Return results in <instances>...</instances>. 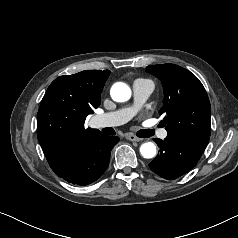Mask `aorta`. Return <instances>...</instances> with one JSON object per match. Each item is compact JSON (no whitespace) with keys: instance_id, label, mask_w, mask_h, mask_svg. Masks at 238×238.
<instances>
[{"instance_id":"762f6f07","label":"aorta","mask_w":238,"mask_h":238,"mask_svg":"<svg viewBox=\"0 0 238 238\" xmlns=\"http://www.w3.org/2000/svg\"><path fill=\"white\" fill-rule=\"evenodd\" d=\"M110 94L114 101L125 102L131 97V89L127 84L117 82L111 87ZM140 153L146 159L155 157L157 153L155 144L153 142L143 143L140 146Z\"/></svg>"}]
</instances>
